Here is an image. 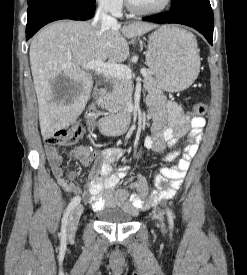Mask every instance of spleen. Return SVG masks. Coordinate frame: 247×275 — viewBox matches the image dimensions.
<instances>
[{
    "label": "spleen",
    "instance_id": "1",
    "mask_svg": "<svg viewBox=\"0 0 247 275\" xmlns=\"http://www.w3.org/2000/svg\"><path fill=\"white\" fill-rule=\"evenodd\" d=\"M188 38L192 41V43L195 45V47H197V43H196V40L193 38V35L189 33Z\"/></svg>",
    "mask_w": 247,
    "mask_h": 275
}]
</instances>
